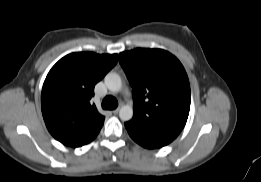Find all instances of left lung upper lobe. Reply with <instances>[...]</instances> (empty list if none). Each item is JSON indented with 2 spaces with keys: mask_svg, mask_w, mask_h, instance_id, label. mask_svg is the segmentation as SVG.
Instances as JSON below:
<instances>
[{
  "mask_svg": "<svg viewBox=\"0 0 261 182\" xmlns=\"http://www.w3.org/2000/svg\"><path fill=\"white\" fill-rule=\"evenodd\" d=\"M133 88L134 116L126 124L138 134L173 141L190 110V85L180 61L162 49L136 48L119 54Z\"/></svg>",
  "mask_w": 261,
  "mask_h": 182,
  "instance_id": "obj_1",
  "label": "left lung upper lobe"
}]
</instances>
